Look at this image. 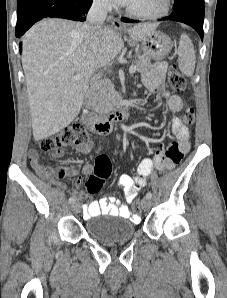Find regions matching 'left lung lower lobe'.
<instances>
[{"label": "left lung lower lobe", "instance_id": "left-lung-lower-lobe-1", "mask_svg": "<svg viewBox=\"0 0 227 298\" xmlns=\"http://www.w3.org/2000/svg\"><path fill=\"white\" fill-rule=\"evenodd\" d=\"M173 12L170 16L160 20H173L185 23L193 27L203 40V22H204V0H175ZM123 22H138L128 18H122Z\"/></svg>", "mask_w": 227, "mask_h": 298}]
</instances>
